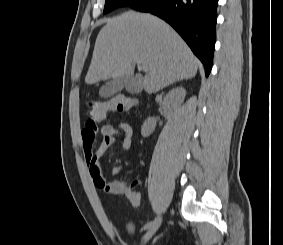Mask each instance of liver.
Segmentation results:
<instances>
[{
	"label": "liver",
	"mask_w": 283,
	"mask_h": 245,
	"mask_svg": "<svg viewBox=\"0 0 283 245\" xmlns=\"http://www.w3.org/2000/svg\"><path fill=\"white\" fill-rule=\"evenodd\" d=\"M135 64L146 67L142 88L155 93L193 78L199 61L167 23L150 14L128 11L108 19L100 30L85 83L132 75Z\"/></svg>",
	"instance_id": "obj_1"
}]
</instances>
